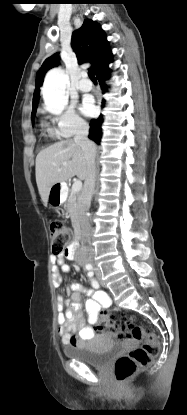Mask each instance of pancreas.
I'll list each match as a JSON object with an SVG mask.
<instances>
[{
  "instance_id": "obj_1",
  "label": "pancreas",
  "mask_w": 187,
  "mask_h": 415,
  "mask_svg": "<svg viewBox=\"0 0 187 415\" xmlns=\"http://www.w3.org/2000/svg\"><path fill=\"white\" fill-rule=\"evenodd\" d=\"M65 209L71 217L72 225L75 227L78 224V206L76 194L70 191L68 199L64 204Z\"/></svg>"
}]
</instances>
